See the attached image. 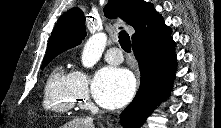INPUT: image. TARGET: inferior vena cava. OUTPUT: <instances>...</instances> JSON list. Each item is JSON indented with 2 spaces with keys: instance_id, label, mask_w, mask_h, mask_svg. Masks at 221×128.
<instances>
[{
  "instance_id": "1",
  "label": "inferior vena cava",
  "mask_w": 221,
  "mask_h": 128,
  "mask_svg": "<svg viewBox=\"0 0 221 128\" xmlns=\"http://www.w3.org/2000/svg\"><path fill=\"white\" fill-rule=\"evenodd\" d=\"M91 112H92V114L97 113L98 112V108L96 106H92L91 107ZM89 119L92 120V118H89Z\"/></svg>"
}]
</instances>
